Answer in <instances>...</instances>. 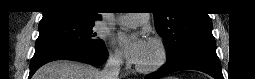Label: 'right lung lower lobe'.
Returning a JSON list of instances; mask_svg holds the SVG:
<instances>
[{
	"instance_id": "obj_1",
	"label": "right lung lower lobe",
	"mask_w": 255,
	"mask_h": 79,
	"mask_svg": "<svg viewBox=\"0 0 255 79\" xmlns=\"http://www.w3.org/2000/svg\"><path fill=\"white\" fill-rule=\"evenodd\" d=\"M107 57L105 44L96 47H72L65 45H49L36 48L30 64L29 78L38 68L54 60H74L87 64H101Z\"/></svg>"
}]
</instances>
